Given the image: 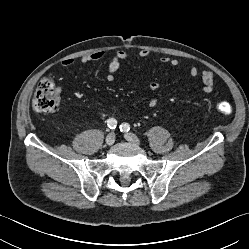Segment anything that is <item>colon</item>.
<instances>
[{
  "label": "colon",
  "mask_w": 249,
  "mask_h": 249,
  "mask_svg": "<svg viewBox=\"0 0 249 249\" xmlns=\"http://www.w3.org/2000/svg\"><path fill=\"white\" fill-rule=\"evenodd\" d=\"M32 107L39 113L49 114L55 113L60 108V98L54 80L49 77H43L36 88ZM218 112L229 115L232 111L231 105L227 102L221 101L216 104Z\"/></svg>",
  "instance_id": "1"
}]
</instances>
